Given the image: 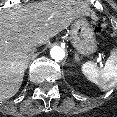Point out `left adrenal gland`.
Segmentation results:
<instances>
[{
  "label": "left adrenal gland",
  "instance_id": "left-adrenal-gland-1",
  "mask_svg": "<svg viewBox=\"0 0 117 117\" xmlns=\"http://www.w3.org/2000/svg\"><path fill=\"white\" fill-rule=\"evenodd\" d=\"M74 57H75V61H76V62H79V61H80V59H79V57H78L77 54H75Z\"/></svg>",
  "mask_w": 117,
  "mask_h": 117
}]
</instances>
